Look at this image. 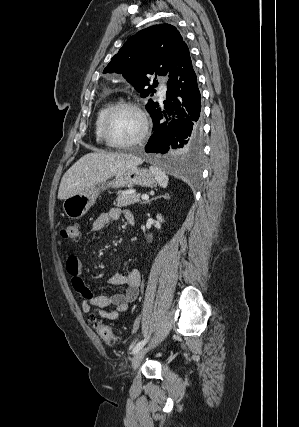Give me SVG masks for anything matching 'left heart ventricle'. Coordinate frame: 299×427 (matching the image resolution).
<instances>
[{"mask_svg": "<svg viewBox=\"0 0 299 427\" xmlns=\"http://www.w3.org/2000/svg\"><path fill=\"white\" fill-rule=\"evenodd\" d=\"M142 129L139 115L131 109H121L112 117L109 133L116 142H127L138 136Z\"/></svg>", "mask_w": 299, "mask_h": 427, "instance_id": "obj_1", "label": "left heart ventricle"}]
</instances>
